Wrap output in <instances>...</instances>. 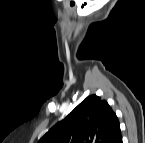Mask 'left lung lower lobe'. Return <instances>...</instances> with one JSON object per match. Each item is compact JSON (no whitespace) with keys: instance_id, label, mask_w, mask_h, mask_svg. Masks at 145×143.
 I'll use <instances>...</instances> for the list:
<instances>
[{"instance_id":"1","label":"left lung lower lobe","mask_w":145,"mask_h":143,"mask_svg":"<svg viewBox=\"0 0 145 143\" xmlns=\"http://www.w3.org/2000/svg\"><path fill=\"white\" fill-rule=\"evenodd\" d=\"M115 143H122V137L120 136L116 141Z\"/></svg>"}]
</instances>
